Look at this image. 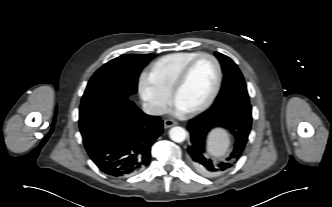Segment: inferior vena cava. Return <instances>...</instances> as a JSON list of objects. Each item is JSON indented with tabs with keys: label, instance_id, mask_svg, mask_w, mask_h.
Instances as JSON below:
<instances>
[{
	"label": "inferior vena cava",
	"instance_id": "602c4592",
	"mask_svg": "<svg viewBox=\"0 0 332 207\" xmlns=\"http://www.w3.org/2000/svg\"><path fill=\"white\" fill-rule=\"evenodd\" d=\"M142 110L148 115H163L166 113V110L148 102L143 103Z\"/></svg>",
	"mask_w": 332,
	"mask_h": 207
}]
</instances>
